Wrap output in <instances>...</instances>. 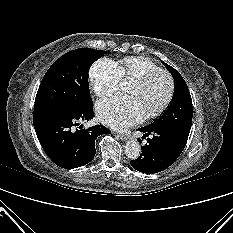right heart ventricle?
<instances>
[{"label": "right heart ventricle", "instance_id": "obj_1", "mask_svg": "<svg viewBox=\"0 0 233 233\" xmlns=\"http://www.w3.org/2000/svg\"><path fill=\"white\" fill-rule=\"evenodd\" d=\"M121 78L134 79L143 73L159 68L151 59L143 56H130L116 64Z\"/></svg>", "mask_w": 233, "mask_h": 233}]
</instances>
